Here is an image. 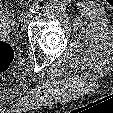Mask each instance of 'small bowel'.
<instances>
[{
	"label": "small bowel",
	"mask_w": 113,
	"mask_h": 113,
	"mask_svg": "<svg viewBox=\"0 0 113 113\" xmlns=\"http://www.w3.org/2000/svg\"><path fill=\"white\" fill-rule=\"evenodd\" d=\"M1 15H3V16H4L5 14H4V13H1Z\"/></svg>",
	"instance_id": "1"
}]
</instances>
